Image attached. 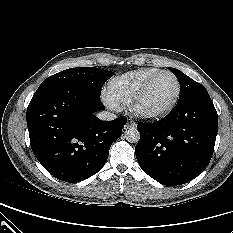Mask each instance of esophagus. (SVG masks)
Wrapping results in <instances>:
<instances>
[{"mask_svg":"<svg viewBox=\"0 0 233 233\" xmlns=\"http://www.w3.org/2000/svg\"><path fill=\"white\" fill-rule=\"evenodd\" d=\"M135 126H136V123L134 121L128 120V122L125 125V129H129V128H132V127H135Z\"/></svg>","mask_w":233,"mask_h":233,"instance_id":"1","label":"esophagus"}]
</instances>
